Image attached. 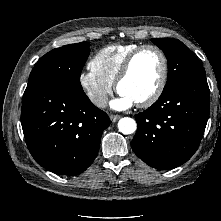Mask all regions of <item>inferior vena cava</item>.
Listing matches in <instances>:
<instances>
[{
	"mask_svg": "<svg viewBox=\"0 0 221 221\" xmlns=\"http://www.w3.org/2000/svg\"><path fill=\"white\" fill-rule=\"evenodd\" d=\"M91 101L98 107H105L108 101L106 93H97L91 96Z\"/></svg>",
	"mask_w": 221,
	"mask_h": 221,
	"instance_id": "602c4592",
	"label": "inferior vena cava"
}]
</instances>
